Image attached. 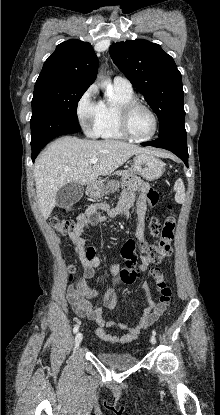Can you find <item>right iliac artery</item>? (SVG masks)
I'll return each mask as SVG.
<instances>
[{"instance_id":"obj_1","label":"right iliac artery","mask_w":220,"mask_h":415,"mask_svg":"<svg viewBox=\"0 0 220 415\" xmlns=\"http://www.w3.org/2000/svg\"><path fill=\"white\" fill-rule=\"evenodd\" d=\"M78 330H79V325H75V327L73 328V332H74V333H77V332H78Z\"/></svg>"}]
</instances>
